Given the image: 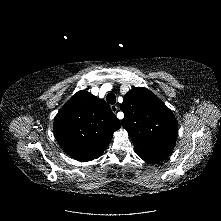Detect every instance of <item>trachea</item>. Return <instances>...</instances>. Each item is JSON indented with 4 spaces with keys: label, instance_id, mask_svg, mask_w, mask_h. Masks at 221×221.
I'll use <instances>...</instances> for the list:
<instances>
[{
    "label": "trachea",
    "instance_id": "1",
    "mask_svg": "<svg viewBox=\"0 0 221 221\" xmlns=\"http://www.w3.org/2000/svg\"><path fill=\"white\" fill-rule=\"evenodd\" d=\"M106 101L113 105L116 103V96L113 94V93H109L107 96H106Z\"/></svg>",
    "mask_w": 221,
    "mask_h": 221
}]
</instances>
